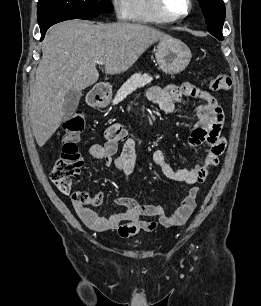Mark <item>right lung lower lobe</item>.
Masks as SVG:
<instances>
[{
    "label": "right lung lower lobe",
    "instance_id": "right-lung-lower-lobe-1",
    "mask_svg": "<svg viewBox=\"0 0 261 306\" xmlns=\"http://www.w3.org/2000/svg\"><path fill=\"white\" fill-rule=\"evenodd\" d=\"M99 14H76L71 12L51 11V10H38V23L41 31V40L44 38L47 29L58 23L70 19H92Z\"/></svg>",
    "mask_w": 261,
    "mask_h": 306
}]
</instances>
